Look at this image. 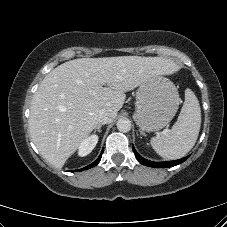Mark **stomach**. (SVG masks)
Masks as SVG:
<instances>
[{
	"mask_svg": "<svg viewBox=\"0 0 227 227\" xmlns=\"http://www.w3.org/2000/svg\"><path fill=\"white\" fill-rule=\"evenodd\" d=\"M179 101L177 88L168 78L152 76L138 86L134 120L142 131H158L173 119Z\"/></svg>",
	"mask_w": 227,
	"mask_h": 227,
	"instance_id": "obj_1",
	"label": "stomach"
}]
</instances>
